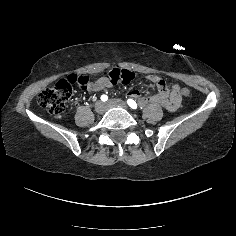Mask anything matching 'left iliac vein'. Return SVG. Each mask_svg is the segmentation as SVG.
I'll return each instance as SVG.
<instances>
[{"mask_svg":"<svg viewBox=\"0 0 236 236\" xmlns=\"http://www.w3.org/2000/svg\"><path fill=\"white\" fill-rule=\"evenodd\" d=\"M107 109L113 108V107H121L123 109H127V103L119 100V99H111L106 104Z\"/></svg>","mask_w":236,"mask_h":236,"instance_id":"obj_1","label":"left iliac vein"}]
</instances>
